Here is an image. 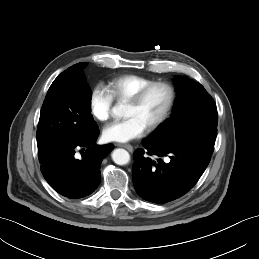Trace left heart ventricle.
<instances>
[{"instance_id": "1", "label": "left heart ventricle", "mask_w": 259, "mask_h": 259, "mask_svg": "<svg viewBox=\"0 0 259 259\" xmlns=\"http://www.w3.org/2000/svg\"><path fill=\"white\" fill-rule=\"evenodd\" d=\"M166 102V90L162 87H156L147 94L140 105L127 104L125 117H135L147 128L162 113Z\"/></svg>"}]
</instances>
